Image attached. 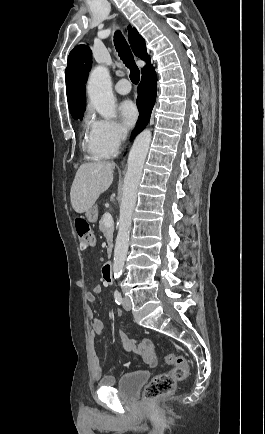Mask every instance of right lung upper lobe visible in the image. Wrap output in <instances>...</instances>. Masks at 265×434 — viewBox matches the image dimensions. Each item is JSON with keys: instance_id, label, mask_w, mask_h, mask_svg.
Listing matches in <instances>:
<instances>
[{"instance_id": "1", "label": "right lung upper lobe", "mask_w": 265, "mask_h": 434, "mask_svg": "<svg viewBox=\"0 0 265 434\" xmlns=\"http://www.w3.org/2000/svg\"><path fill=\"white\" fill-rule=\"evenodd\" d=\"M128 40L136 56L146 60L145 41L135 28L127 27ZM91 50L86 45L76 46L68 56V65L65 70L68 105L75 102H86L85 83L92 65Z\"/></svg>"}]
</instances>
